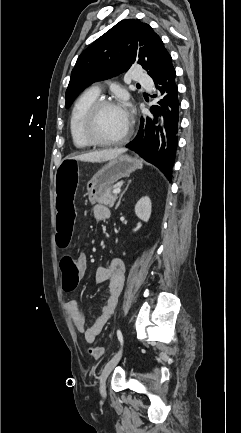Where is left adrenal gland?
I'll list each match as a JSON object with an SVG mask.
<instances>
[{
    "mask_svg": "<svg viewBox=\"0 0 241 433\" xmlns=\"http://www.w3.org/2000/svg\"><path fill=\"white\" fill-rule=\"evenodd\" d=\"M130 183H131V180L128 181V184H127L125 190H124V191L122 192V194L120 195L119 201H118V203H117L115 209H117V208L119 207V205H120V203H121V199H122L123 195L125 194V192L127 191L128 187H129V185H130Z\"/></svg>",
    "mask_w": 241,
    "mask_h": 433,
    "instance_id": "a2214340",
    "label": "left adrenal gland"
}]
</instances>
